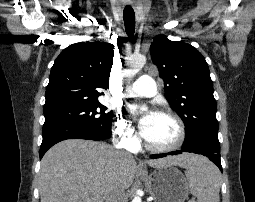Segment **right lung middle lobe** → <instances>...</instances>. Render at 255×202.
Instances as JSON below:
<instances>
[{
  "mask_svg": "<svg viewBox=\"0 0 255 202\" xmlns=\"http://www.w3.org/2000/svg\"><path fill=\"white\" fill-rule=\"evenodd\" d=\"M99 102L67 107L45 113L44 126L53 124H78L103 136H111L112 112Z\"/></svg>",
  "mask_w": 255,
  "mask_h": 202,
  "instance_id": "1",
  "label": "right lung middle lobe"
}]
</instances>
